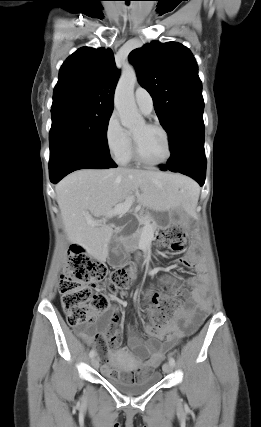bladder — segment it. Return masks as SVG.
<instances>
[{"instance_id": "1", "label": "bladder", "mask_w": 261, "mask_h": 427, "mask_svg": "<svg viewBox=\"0 0 261 427\" xmlns=\"http://www.w3.org/2000/svg\"><path fill=\"white\" fill-rule=\"evenodd\" d=\"M104 378L117 390L126 394H140L155 386L161 379L158 371L139 376L119 359L112 360L104 371Z\"/></svg>"}]
</instances>
